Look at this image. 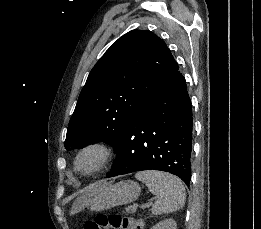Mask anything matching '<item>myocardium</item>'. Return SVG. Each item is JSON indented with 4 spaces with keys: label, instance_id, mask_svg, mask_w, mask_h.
I'll use <instances>...</instances> for the list:
<instances>
[{
    "label": "myocardium",
    "instance_id": "1",
    "mask_svg": "<svg viewBox=\"0 0 261 229\" xmlns=\"http://www.w3.org/2000/svg\"><path fill=\"white\" fill-rule=\"evenodd\" d=\"M93 156L95 163L86 167L83 161L86 157ZM111 149L102 141H91L82 145L76 152L73 165L75 170L84 175H92L102 170L110 161Z\"/></svg>",
    "mask_w": 261,
    "mask_h": 229
}]
</instances>
